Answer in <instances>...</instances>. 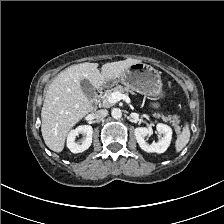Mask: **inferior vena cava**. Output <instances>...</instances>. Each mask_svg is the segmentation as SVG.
<instances>
[{
  "label": "inferior vena cava",
  "instance_id": "inferior-vena-cava-1",
  "mask_svg": "<svg viewBox=\"0 0 224 224\" xmlns=\"http://www.w3.org/2000/svg\"><path fill=\"white\" fill-rule=\"evenodd\" d=\"M107 115H108V111L106 109L97 110L94 113L95 119H98V120L105 118Z\"/></svg>",
  "mask_w": 224,
  "mask_h": 224
}]
</instances>
